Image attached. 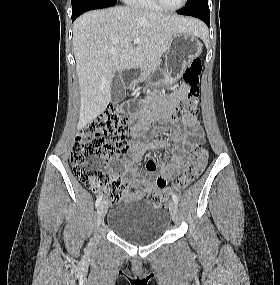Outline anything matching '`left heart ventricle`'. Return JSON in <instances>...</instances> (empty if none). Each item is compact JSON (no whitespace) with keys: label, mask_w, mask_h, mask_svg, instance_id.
Masks as SVG:
<instances>
[{"label":"left heart ventricle","mask_w":280,"mask_h":285,"mask_svg":"<svg viewBox=\"0 0 280 285\" xmlns=\"http://www.w3.org/2000/svg\"><path fill=\"white\" fill-rule=\"evenodd\" d=\"M162 1L168 7H176L181 3L182 0H162Z\"/></svg>","instance_id":"1"}]
</instances>
